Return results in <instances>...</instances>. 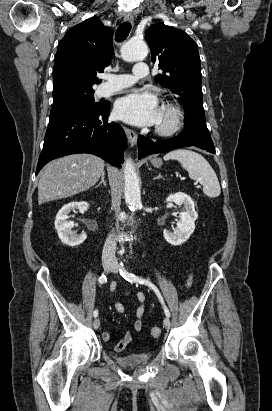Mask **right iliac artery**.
<instances>
[{
	"instance_id": "82829eb1",
	"label": "right iliac artery",
	"mask_w": 272,
	"mask_h": 411,
	"mask_svg": "<svg viewBox=\"0 0 272 411\" xmlns=\"http://www.w3.org/2000/svg\"><path fill=\"white\" fill-rule=\"evenodd\" d=\"M106 282H107L106 276H105L104 274H102V275L99 277V283L103 284V283H106ZM93 316H94V317H97V316H98V310H95V311H94Z\"/></svg>"
}]
</instances>
